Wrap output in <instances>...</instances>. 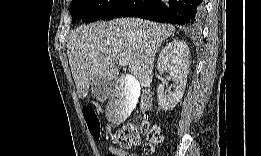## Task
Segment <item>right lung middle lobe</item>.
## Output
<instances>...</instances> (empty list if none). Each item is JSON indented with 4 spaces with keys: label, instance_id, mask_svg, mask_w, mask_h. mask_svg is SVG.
Masks as SVG:
<instances>
[{
    "label": "right lung middle lobe",
    "instance_id": "1",
    "mask_svg": "<svg viewBox=\"0 0 261 156\" xmlns=\"http://www.w3.org/2000/svg\"><path fill=\"white\" fill-rule=\"evenodd\" d=\"M119 0H73L69 6L72 22L90 23L101 19Z\"/></svg>",
    "mask_w": 261,
    "mask_h": 156
}]
</instances>
